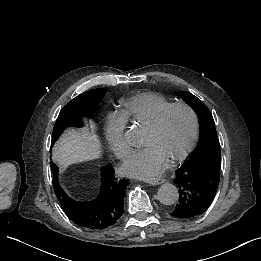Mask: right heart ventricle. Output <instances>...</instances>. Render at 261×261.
Segmentation results:
<instances>
[{"mask_svg": "<svg viewBox=\"0 0 261 261\" xmlns=\"http://www.w3.org/2000/svg\"><path fill=\"white\" fill-rule=\"evenodd\" d=\"M169 103L171 100L160 93H138L121 99L120 115L143 123Z\"/></svg>", "mask_w": 261, "mask_h": 261, "instance_id": "1", "label": "right heart ventricle"}]
</instances>
